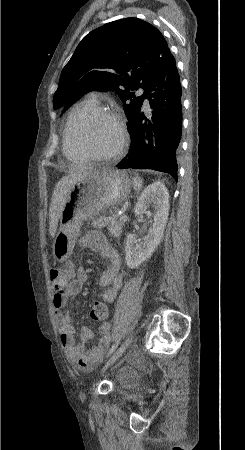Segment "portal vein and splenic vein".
I'll use <instances>...</instances> for the list:
<instances>
[{"instance_id": "portal-vein-and-splenic-vein-1", "label": "portal vein and splenic vein", "mask_w": 245, "mask_h": 450, "mask_svg": "<svg viewBox=\"0 0 245 450\" xmlns=\"http://www.w3.org/2000/svg\"><path fill=\"white\" fill-rule=\"evenodd\" d=\"M120 220L126 221V220H127V216H126V215H122V216L120 217Z\"/></svg>"}]
</instances>
